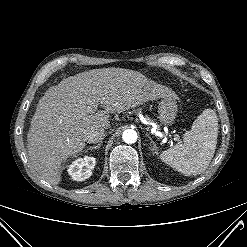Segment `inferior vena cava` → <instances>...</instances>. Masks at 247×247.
<instances>
[{
    "instance_id": "inferior-vena-cava-1",
    "label": "inferior vena cava",
    "mask_w": 247,
    "mask_h": 247,
    "mask_svg": "<svg viewBox=\"0 0 247 247\" xmlns=\"http://www.w3.org/2000/svg\"><path fill=\"white\" fill-rule=\"evenodd\" d=\"M104 138H105V130L98 129V130L91 132L87 136L86 141L88 143H100Z\"/></svg>"
}]
</instances>
